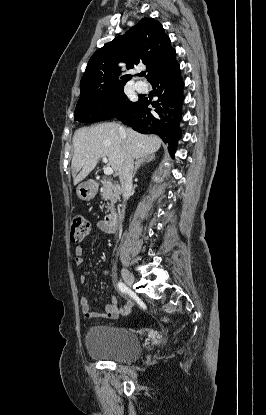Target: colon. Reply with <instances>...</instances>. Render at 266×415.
I'll return each instance as SVG.
<instances>
[{
  "mask_svg": "<svg viewBox=\"0 0 266 415\" xmlns=\"http://www.w3.org/2000/svg\"><path fill=\"white\" fill-rule=\"evenodd\" d=\"M90 223L83 216H75L70 224V240L72 243H80L90 233ZM165 322H169L168 316H163Z\"/></svg>",
  "mask_w": 266,
  "mask_h": 415,
  "instance_id": "colon-1",
  "label": "colon"
}]
</instances>
